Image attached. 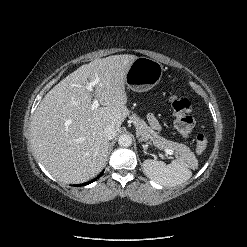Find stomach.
Instances as JSON below:
<instances>
[{
	"instance_id": "obj_1",
	"label": "stomach",
	"mask_w": 247,
	"mask_h": 247,
	"mask_svg": "<svg viewBox=\"0 0 247 247\" xmlns=\"http://www.w3.org/2000/svg\"><path fill=\"white\" fill-rule=\"evenodd\" d=\"M163 66L148 57H138L131 64L125 83L135 92H145L157 85L162 79Z\"/></svg>"
}]
</instances>
